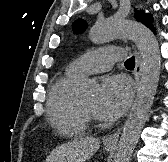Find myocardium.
<instances>
[{"mask_svg":"<svg viewBox=\"0 0 168 162\" xmlns=\"http://www.w3.org/2000/svg\"><path fill=\"white\" fill-rule=\"evenodd\" d=\"M80 108H81L84 116L87 119H94L95 118V113L92 110H90L89 108H87L85 106V104L83 103V101H80Z\"/></svg>","mask_w":168,"mask_h":162,"instance_id":"1","label":"myocardium"}]
</instances>
